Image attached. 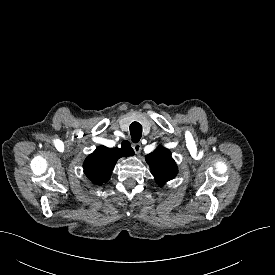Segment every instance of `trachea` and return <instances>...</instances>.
Here are the masks:
<instances>
[{
  "label": "trachea",
  "mask_w": 275,
  "mask_h": 275,
  "mask_svg": "<svg viewBox=\"0 0 275 275\" xmlns=\"http://www.w3.org/2000/svg\"><path fill=\"white\" fill-rule=\"evenodd\" d=\"M130 134H131V137H132V142L133 143H137L141 136H142V126L140 123L138 122H133L131 125H130Z\"/></svg>",
  "instance_id": "1"
}]
</instances>
